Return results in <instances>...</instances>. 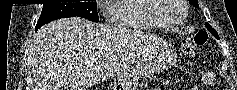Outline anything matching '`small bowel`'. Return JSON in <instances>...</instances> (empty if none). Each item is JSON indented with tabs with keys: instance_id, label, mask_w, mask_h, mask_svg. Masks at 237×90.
<instances>
[{
	"instance_id": "small-bowel-1",
	"label": "small bowel",
	"mask_w": 237,
	"mask_h": 90,
	"mask_svg": "<svg viewBox=\"0 0 237 90\" xmlns=\"http://www.w3.org/2000/svg\"><path fill=\"white\" fill-rule=\"evenodd\" d=\"M213 79H214L213 75L210 72L204 73V75L202 77L203 85L204 86L212 85ZM153 90H159V89L158 88H154ZM189 90H204V88L201 87V86H193Z\"/></svg>"
}]
</instances>
